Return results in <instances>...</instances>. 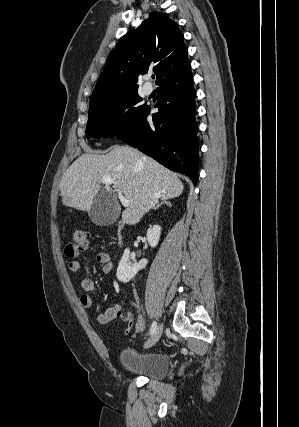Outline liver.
Instances as JSON below:
<instances>
[{
    "instance_id": "6515ba94",
    "label": "liver",
    "mask_w": 299,
    "mask_h": 427,
    "mask_svg": "<svg viewBox=\"0 0 299 427\" xmlns=\"http://www.w3.org/2000/svg\"><path fill=\"white\" fill-rule=\"evenodd\" d=\"M105 177L129 201L122 213L129 225L138 223L159 199L178 197L184 189L177 174L154 159L129 146H114L105 155L85 153L73 162L59 184L62 203L89 211Z\"/></svg>"
}]
</instances>
